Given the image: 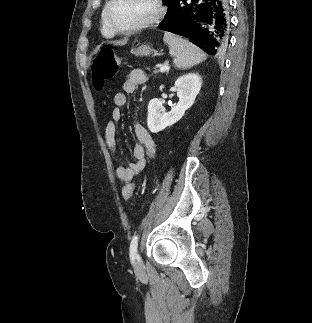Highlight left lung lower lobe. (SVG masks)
<instances>
[{
  "label": "left lung lower lobe",
  "instance_id": "left-lung-lower-lobe-1",
  "mask_svg": "<svg viewBox=\"0 0 312 323\" xmlns=\"http://www.w3.org/2000/svg\"><path fill=\"white\" fill-rule=\"evenodd\" d=\"M179 0L171 19L159 28L183 36L204 52L224 55L229 47L226 0Z\"/></svg>",
  "mask_w": 312,
  "mask_h": 323
}]
</instances>
